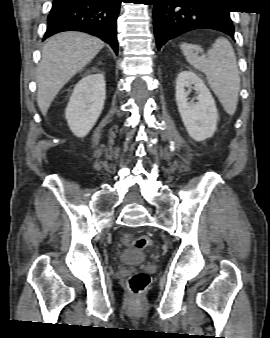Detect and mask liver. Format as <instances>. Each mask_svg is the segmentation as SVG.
Instances as JSON below:
<instances>
[{"instance_id": "obj_1", "label": "liver", "mask_w": 270, "mask_h": 338, "mask_svg": "<svg viewBox=\"0 0 270 338\" xmlns=\"http://www.w3.org/2000/svg\"><path fill=\"white\" fill-rule=\"evenodd\" d=\"M104 47L99 38L80 32H63L49 38L37 69V104L45 115L58 92Z\"/></svg>"}]
</instances>
